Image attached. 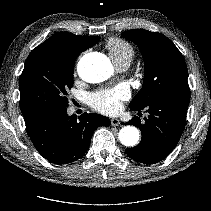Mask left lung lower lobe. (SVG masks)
<instances>
[{
    "instance_id": "0a47b994",
    "label": "left lung lower lobe",
    "mask_w": 211,
    "mask_h": 211,
    "mask_svg": "<svg viewBox=\"0 0 211 211\" xmlns=\"http://www.w3.org/2000/svg\"><path fill=\"white\" fill-rule=\"evenodd\" d=\"M189 101L190 91H171L149 102L144 107L149 113L148 117H144V123L136 116L127 122L140 128L142 139L134 148L126 149V154L145 164L166 158L182 135ZM142 109L132 110L140 113Z\"/></svg>"
}]
</instances>
